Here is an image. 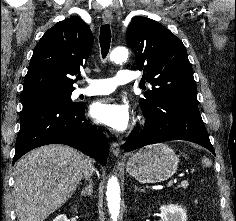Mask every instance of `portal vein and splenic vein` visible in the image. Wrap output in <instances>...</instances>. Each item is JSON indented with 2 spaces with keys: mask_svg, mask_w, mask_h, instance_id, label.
I'll return each mask as SVG.
<instances>
[{
  "mask_svg": "<svg viewBox=\"0 0 236 221\" xmlns=\"http://www.w3.org/2000/svg\"><path fill=\"white\" fill-rule=\"evenodd\" d=\"M187 181L186 180H183L181 183H180V186H187ZM174 184V182L173 181H169L168 183H167V187H172V185Z\"/></svg>",
  "mask_w": 236,
  "mask_h": 221,
  "instance_id": "portal-vein-and-splenic-vein-1",
  "label": "portal vein and splenic vein"
}]
</instances>
